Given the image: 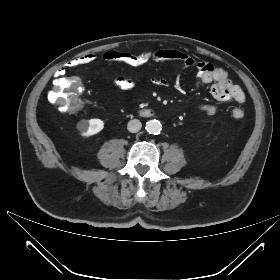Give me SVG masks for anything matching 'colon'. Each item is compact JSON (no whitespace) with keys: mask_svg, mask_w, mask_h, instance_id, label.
Masks as SVG:
<instances>
[{"mask_svg":"<svg viewBox=\"0 0 280 280\" xmlns=\"http://www.w3.org/2000/svg\"><path fill=\"white\" fill-rule=\"evenodd\" d=\"M142 65L145 69L151 70L155 67L156 62L153 58L147 57L143 60ZM80 81L76 77L65 76V73L57 75V80L54 83L52 90L48 94V101L52 104H57L61 111H67L70 115H75L81 108V102L77 96L64 97V91L68 88L78 87ZM243 111L236 112V116L243 117Z\"/></svg>","mask_w":280,"mask_h":280,"instance_id":"obj_1","label":"colon"}]
</instances>
